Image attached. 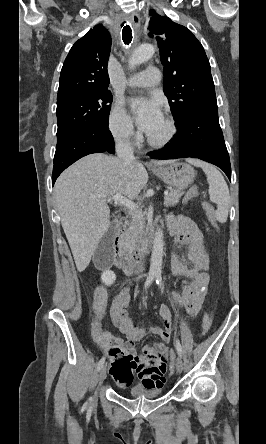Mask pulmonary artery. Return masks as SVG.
Returning <instances> with one entry per match:
<instances>
[{
	"instance_id": "e3ab8cb5",
	"label": "pulmonary artery",
	"mask_w": 266,
	"mask_h": 444,
	"mask_svg": "<svg viewBox=\"0 0 266 444\" xmlns=\"http://www.w3.org/2000/svg\"><path fill=\"white\" fill-rule=\"evenodd\" d=\"M161 71L158 67L150 66L146 70L135 74L127 81L130 87H151L160 82Z\"/></svg>"
}]
</instances>
